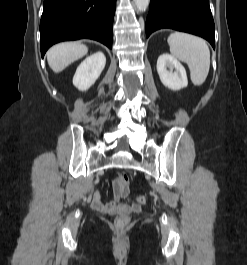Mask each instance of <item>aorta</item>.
<instances>
[{"label":"aorta","instance_id":"1","mask_svg":"<svg viewBox=\"0 0 247 265\" xmlns=\"http://www.w3.org/2000/svg\"><path fill=\"white\" fill-rule=\"evenodd\" d=\"M138 10L145 11L149 5L150 0H134Z\"/></svg>","mask_w":247,"mask_h":265}]
</instances>
